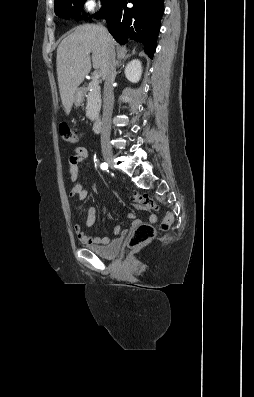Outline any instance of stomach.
Returning a JSON list of instances; mask_svg holds the SVG:
<instances>
[{"label":"stomach","mask_w":254,"mask_h":397,"mask_svg":"<svg viewBox=\"0 0 254 397\" xmlns=\"http://www.w3.org/2000/svg\"><path fill=\"white\" fill-rule=\"evenodd\" d=\"M83 101V91L81 89H77L74 94V104L79 106Z\"/></svg>","instance_id":"1"}]
</instances>
